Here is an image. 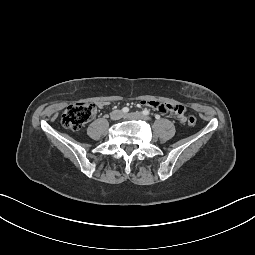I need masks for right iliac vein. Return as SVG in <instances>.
Returning a JSON list of instances; mask_svg holds the SVG:
<instances>
[{
    "mask_svg": "<svg viewBox=\"0 0 255 255\" xmlns=\"http://www.w3.org/2000/svg\"><path fill=\"white\" fill-rule=\"evenodd\" d=\"M110 117L112 120L116 121L119 120L123 117V112L121 110H114L111 114Z\"/></svg>",
    "mask_w": 255,
    "mask_h": 255,
    "instance_id": "1",
    "label": "right iliac vein"
}]
</instances>
